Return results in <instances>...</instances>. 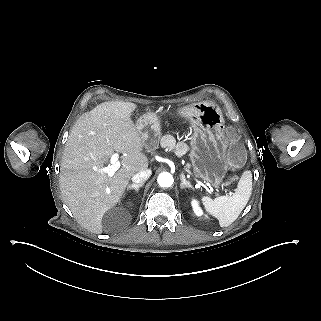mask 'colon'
<instances>
[{
	"label": "colon",
	"mask_w": 321,
	"mask_h": 321,
	"mask_svg": "<svg viewBox=\"0 0 321 321\" xmlns=\"http://www.w3.org/2000/svg\"><path fill=\"white\" fill-rule=\"evenodd\" d=\"M226 158L233 164H237L242 161V149L236 143V133L234 130H231L229 133Z\"/></svg>",
	"instance_id": "5ec220e1"
}]
</instances>
